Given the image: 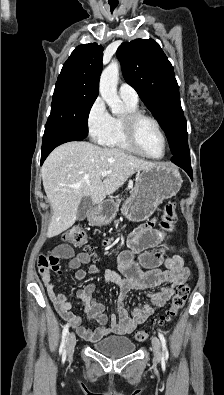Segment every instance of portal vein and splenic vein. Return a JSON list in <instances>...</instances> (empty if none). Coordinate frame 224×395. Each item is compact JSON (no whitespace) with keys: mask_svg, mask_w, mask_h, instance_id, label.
Instances as JSON below:
<instances>
[{"mask_svg":"<svg viewBox=\"0 0 224 395\" xmlns=\"http://www.w3.org/2000/svg\"><path fill=\"white\" fill-rule=\"evenodd\" d=\"M109 173H110V172H108V171H103V172L101 173V175H102V177H106Z\"/></svg>","mask_w":224,"mask_h":395,"instance_id":"portal-vein-and-splenic-vein-1","label":"portal vein and splenic vein"}]
</instances>
